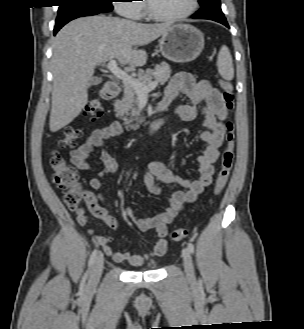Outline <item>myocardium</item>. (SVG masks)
Segmentation results:
<instances>
[{
	"label": "myocardium",
	"instance_id": "f54148a6",
	"mask_svg": "<svg viewBox=\"0 0 304 329\" xmlns=\"http://www.w3.org/2000/svg\"><path fill=\"white\" fill-rule=\"evenodd\" d=\"M198 6H199V0H191V6L187 11L177 15H161L153 10L149 0H145V10L147 16L152 20L160 21V22H175L185 19L191 16L192 14H194L198 9Z\"/></svg>",
	"mask_w": 304,
	"mask_h": 329
}]
</instances>
